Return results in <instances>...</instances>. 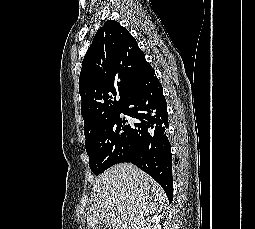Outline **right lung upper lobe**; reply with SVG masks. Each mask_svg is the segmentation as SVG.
<instances>
[{"label": "right lung upper lobe", "instance_id": "cb5924a9", "mask_svg": "<svg viewBox=\"0 0 255 229\" xmlns=\"http://www.w3.org/2000/svg\"><path fill=\"white\" fill-rule=\"evenodd\" d=\"M148 67L150 64L128 30L117 21H106L84 56L79 77L86 139L123 110L135 80Z\"/></svg>", "mask_w": 255, "mask_h": 229}]
</instances>
